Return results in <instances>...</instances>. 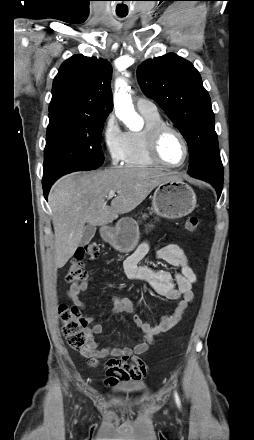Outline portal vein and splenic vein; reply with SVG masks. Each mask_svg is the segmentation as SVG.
Wrapping results in <instances>:
<instances>
[{"mask_svg": "<svg viewBox=\"0 0 254 440\" xmlns=\"http://www.w3.org/2000/svg\"><path fill=\"white\" fill-rule=\"evenodd\" d=\"M114 196H115V191H110L107 197H108V199H111Z\"/></svg>", "mask_w": 254, "mask_h": 440, "instance_id": "18ae733b", "label": "portal vein and splenic vein"}]
</instances>
